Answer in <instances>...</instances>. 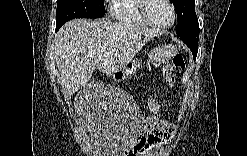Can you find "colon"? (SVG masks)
<instances>
[{
	"label": "colon",
	"instance_id": "colon-1",
	"mask_svg": "<svg viewBox=\"0 0 247 156\" xmlns=\"http://www.w3.org/2000/svg\"><path fill=\"white\" fill-rule=\"evenodd\" d=\"M185 69V59L182 55H176L171 61L167 62L162 68V76L167 88L173 91L178 75ZM161 111L157 110L153 116H149L148 127L143 131V135L152 137L160 130L162 124Z\"/></svg>",
	"mask_w": 247,
	"mask_h": 156
}]
</instances>
